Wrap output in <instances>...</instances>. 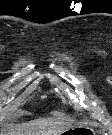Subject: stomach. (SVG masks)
<instances>
[{
	"mask_svg": "<svg viewBox=\"0 0 112 135\" xmlns=\"http://www.w3.org/2000/svg\"><path fill=\"white\" fill-rule=\"evenodd\" d=\"M63 135H84V134H94L91 130L81 127H75L68 129L62 133Z\"/></svg>",
	"mask_w": 112,
	"mask_h": 135,
	"instance_id": "0dacf381",
	"label": "stomach"
}]
</instances>
